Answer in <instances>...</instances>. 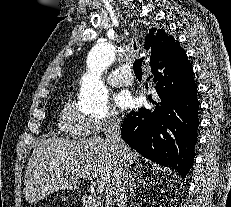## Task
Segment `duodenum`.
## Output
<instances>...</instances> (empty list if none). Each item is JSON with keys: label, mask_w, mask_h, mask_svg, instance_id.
<instances>
[{"label": "duodenum", "mask_w": 231, "mask_h": 207, "mask_svg": "<svg viewBox=\"0 0 231 207\" xmlns=\"http://www.w3.org/2000/svg\"><path fill=\"white\" fill-rule=\"evenodd\" d=\"M82 205L83 207H100L96 199L88 194L82 195Z\"/></svg>", "instance_id": "duodenum-1"}]
</instances>
